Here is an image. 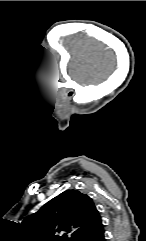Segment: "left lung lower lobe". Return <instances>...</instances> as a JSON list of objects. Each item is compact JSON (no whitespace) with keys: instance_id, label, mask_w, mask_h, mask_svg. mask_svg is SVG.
<instances>
[{"instance_id":"0a47b994","label":"left lung lower lobe","mask_w":146,"mask_h":241,"mask_svg":"<svg viewBox=\"0 0 146 241\" xmlns=\"http://www.w3.org/2000/svg\"><path fill=\"white\" fill-rule=\"evenodd\" d=\"M78 241H106L104 237V228L102 221H100L91 230L85 232Z\"/></svg>"}]
</instances>
